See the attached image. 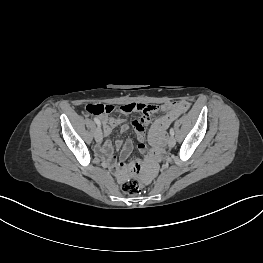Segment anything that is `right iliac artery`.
Here are the masks:
<instances>
[{"mask_svg": "<svg viewBox=\"0 0 263 263\" xmlns=\"http://www.w3.org/2000/svg\"><path fill=\"white\" fill-rule=\"evenodd\" d=\"M95 123L100 127L101 123L98 118H94Z\"/></svg>", "mask_w": 263, "mask_h": 263, "instance_id": "82829eb1", "label": "right iliac artery"}]
</instances>
